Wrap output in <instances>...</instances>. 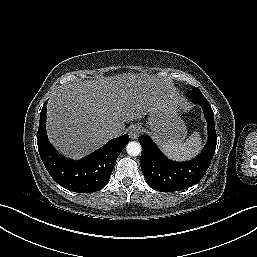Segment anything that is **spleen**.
Wrapping results in <instances>:
<instances>
[{"mask_svg":"<svg viewBox=\"0 0 257 257\" xmlns=\"http://www.w3.org/2000/svg\"><path fill=\"white\" fill-rule=\"evenodd\" d=\"M202 140L198 132H194L185 142L182 140L169 142L163 146L165 154L177 161H185L193 158L200 152Z\"/></svg>","mask_w":257,"mask_h":257,"instance_id":"1","label":"spleen"}]
</instances>
